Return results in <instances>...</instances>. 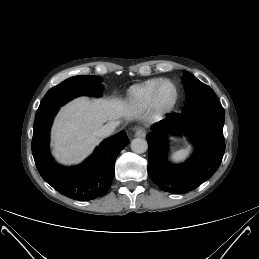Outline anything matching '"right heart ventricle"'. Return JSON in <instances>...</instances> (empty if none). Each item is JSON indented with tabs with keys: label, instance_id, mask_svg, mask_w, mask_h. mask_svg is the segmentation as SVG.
I'll return each mask as SVG.
<instances>
[{
	"label": "right heart ventricle",
	"instance_id": "e07e8e85",
	"mask_svg": "<svg viewBox=\"0 0 259 259\" xmlns=\"http://www.w3.org/2000/svg\"><path fill=\"white\" fill-rule=\"evenodd\" d=\"M162 79L154 78L132 86L127 93V102L136 109H145L152 103L154 90Z\"/></svg>",
	"mask_w": 259,
	"mask_h": 259
}]
</instances>
